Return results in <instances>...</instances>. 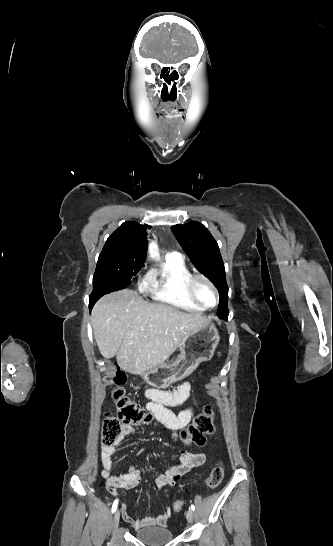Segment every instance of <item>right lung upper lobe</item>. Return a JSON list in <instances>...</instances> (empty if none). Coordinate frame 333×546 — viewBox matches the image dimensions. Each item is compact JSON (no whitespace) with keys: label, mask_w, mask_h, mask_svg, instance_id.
I'll return each mask as SVG.
<instances>
[{"label":"right lung upper lobe","mask_w":333,"mask_h":546,"mask_svg":"<svg viewBox=\"0 0 333 546\" xmlns=\"http://www.w3.org/2000/svg\"><path fill=\"white\" fill-rule=\"evenodd\" d=\"M146 226L124 222L108 237L100 256L123 258L131 269H141L147 252Z\"/></svg>","instance_id":"obj_1"}]
</instances>
